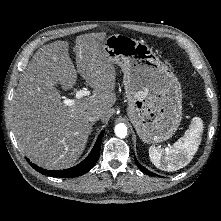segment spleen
I'll return each mask as SVG.
<instances>
[{"label": "spleen", "mask_w": 221, "mask_h": 221, "mask_svg": "<svg viewBox=\"0 0 221 221\" xmlns=\"http://www.w3.org/2000/svg\"><path fill=\"white\" fill-rule=\"evenodd\" d=\"M203 132V121L194 117L190 128L172 146L163 148L160 146L149 147L151 162L159 169L173 172L185 167L193 159L198 150Z\"/></svg>", "instance_id": "3e777b00"}]
</instances>
